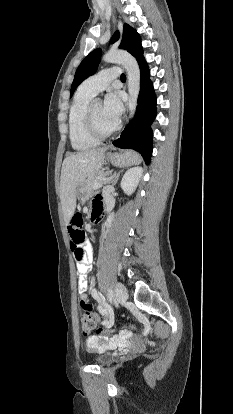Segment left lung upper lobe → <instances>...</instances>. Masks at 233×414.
Returning <instances> with one entry per match:
<instances>
[{
	"label": "left lung upper lobe",
	"mask_w": 233,
	"mask_h": 414,
	"mask_svg": "<svg viewBox=\"0 0 233 414\" xmlns=\"http://www.w3.org/2000/svg\"><path fill=\"white\" fill-rule=\"evenodd\" d=\"M119 36V32L116 31L111 39V43L117 41L119 39ZM119 47L126 49L137 59V62L144 58L140 36L136 30L127 24L124 25L123 38ZM100 57L101 49H96L85 57L75 73L74 81L71 86L70 97L73 95L75 89L82 81L95 73L100 61Z\"/></svg>",
	"instance_id": "obj_1"
}]
</instances>
